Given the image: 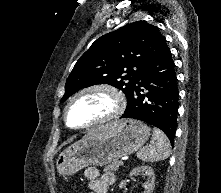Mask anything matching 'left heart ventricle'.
Instances as JSON below:
<instances>
[{"label": "left heart ventricle", "instance_id": "left-heart-ventricle-1", "mask_svg": "<svg viewBox=\"0 0 221 193\" xmlns=\"http://www.w3.org/2000/svg\"><path fill=\"white\" fill-rule=\"evenodd\" d=\"M111 107V100L103 95L92 93L78 98L68 112L72 126H82L105 113Z\"/></svg>", "mask_w": 221, "mask_h": 193}]
</instances>
